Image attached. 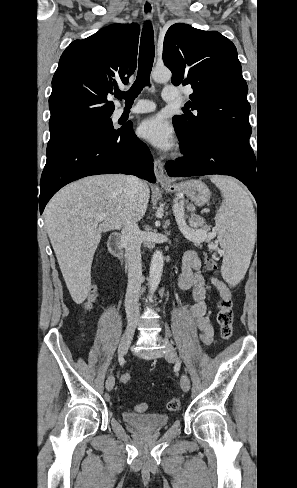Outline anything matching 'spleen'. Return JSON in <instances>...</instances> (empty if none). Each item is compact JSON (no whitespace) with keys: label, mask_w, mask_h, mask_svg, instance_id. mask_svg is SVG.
<instances>
[{"label":"spleen","mask_w":297,"mask_h":488,"mask_svg":"<svg viewBox=\"0 0 297 488\" xmlns=\"http://www.w3.org/2000/svg\"><path fill=\"white\" fill-rule=\"evenodd\" d=\"M224 201L216 213L217 239L223 250L221 273L231 285L238 284L249 267L255 244V213L246 190L234 179L213 176Z\"/></svg>","instance_id":"spleen-1"}]
</instances>
